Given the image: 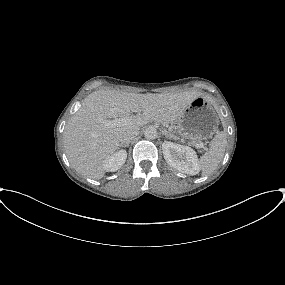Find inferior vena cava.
I'll return each instance as SVG.
<instances>
[{
  "label": "inferior vena cava",
  "instance_id": "602c4592",
  "mask_svg": "<svg viewBox=\"0 0 285 285\" xmlns=\"http://www.w3.org/2000/svg\"><path fill=\"white\" fill-rule=\"evenodd\" d=\"M137 135L138 132L136 131H131V130L123 131L119 135V141L121 142V144H129Z\"/></svg>",
  "mask_w": 285,
  "mask_h": 285
}]
</instances>
